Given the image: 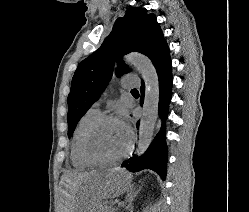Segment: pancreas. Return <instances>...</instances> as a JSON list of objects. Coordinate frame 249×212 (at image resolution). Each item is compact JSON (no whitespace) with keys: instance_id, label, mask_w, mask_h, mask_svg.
Segmentation results:
<instances>
[{"instance_id":"1","label":"pancreas","mask_w":249,"mask_h":212,"mask_svg":"<svg viewBox=\"0 0 249 212\" xmlns=\"http://www.w3.org/2000/svg\"><path fill=\"white\" fill-rule=\"evenodd\" d=\"M112 210H114V208H112V206H102V204H100V206H98L96 212H112Z\"/></svg>"}]
</instances>
